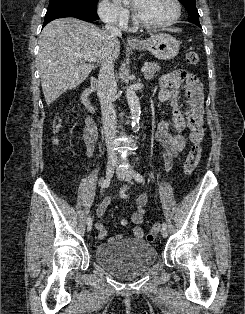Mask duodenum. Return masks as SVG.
I'll list each match as a JSON object with an SVG mask.
<instances>
[{
  "mask_svg": "<svg viewBox=\"0 0 245 314\" xmlns=\"http://www.w3.org/2000/svg\"><path fill=\"white\" fill-rule=\"evenodd\" d=\"M97 85V80L96 78H92L90 84L85 87L81 93V99L86 108L89 110L91 116L93 119L96 118L97 116V107L93 103L91 99V95Z\"/></svg>",
  "mask_w": 245,
  "mask_h": 314,
  "instance_id": "410a0bca",
  "label": "duodenum"
}]
</instances>
